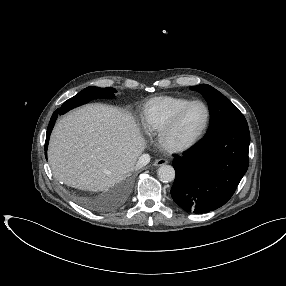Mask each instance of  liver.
Returning a JSON list of instances; mask_svg holds the SVG:
<instances>
[{
  "instance_id": "obj_1",
  "label": "liver",
  "mask_w": 286,
  "mask_h": 286,
  "mask_svg": "<svg viewBox=\"0 0 286 286\" xmlns=\"http://www.w3.org/2000/svg\"><path fill=\"white\" fill-rule=\"evenodd\" d=\"M145 142L133 117L121 109L89 104L55 126L48 148L54 177L89 191H102L134 169Z\"/></svg>"
}]
</instances>
